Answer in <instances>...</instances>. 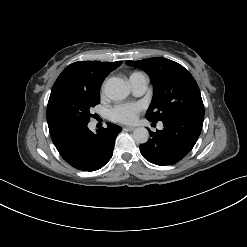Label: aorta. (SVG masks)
<instances>
[{"instance_id": "1", "label": "aorta", "mask_w": 247, "mask_h": 247, "mask_svg": "<svg viewBox=\"0 0 247 247\" xmlns=\"http://www.w3.org/2000/svg\"><path fill=\"white\" fill-rule=\"evenodd\" d=\"M104 93L109 99L120 101L127 98L130 93V88L123 79L113 77L106 82ZM133 139L140 144L146 143L149 139L148 130L144 127L136 128L133 131Z\"/></svg>"}]
</instances>
